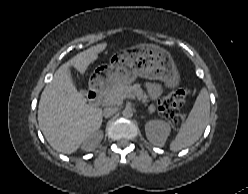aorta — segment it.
Here are the masks:
<instances>
[{"label": "aorta", "instance_id": "762f6f07", "mask_svg": "<svg viewBox=\"0 0 248 194\" xmlns=\"http://www.w3.org/2000/svg\"><path fill=\"white\" fill-rule=\"evenodd\" d=\"M122 115L125 117V118H131L133 116V111L131 108L129 107H126L123 111H122Z\"/></svg>", "mask_w": 248, "mask_h": 194}]
</instances>
